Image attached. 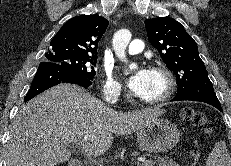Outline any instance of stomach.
<instances>
[{
  "label": "stomach",
  "instance_id": "1",
  "mask_svg": "<svg viewBox=\"0 0 231 166\" xmlns=\"http://www.w3.org/2000/svg\"><path fill=\"white\" fill-rule=\"evenodd\" d=\"M179 136L175 124L167 119L157 118L137 131V142L147 152L165 153L177 144Z\"/></svg>",
  "mask_w": 231,
  "mask_h": 166
}]
</instances>
